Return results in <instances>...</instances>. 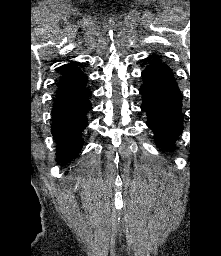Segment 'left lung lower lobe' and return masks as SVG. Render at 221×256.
<instances>
[{
    "label": "left lung lower lobe",
    "instance_id": "0a47b994",
    "mask_svg": "<svg viewBox=\"0 0 221 256\" xmlns=\"http://www.w3.org/2000/svg\"><path fill=\"white\" fill-rule=\"evenodd\" d=\"M144 82L139 89L143 97L141 109L148 115L157 145L172 149L183 130L181 93L170 68L162 63L149 65L141 74Z\"/></svg>",
    "mask_w": 221,
    "mask_h": 256
}]
</instances>
